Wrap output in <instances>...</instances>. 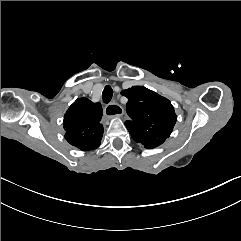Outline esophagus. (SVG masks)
Wrapping results in <instances>:
<instances>
[{"instance_id": "34e87169", "label": "esophagus", "mask_w": 241, "mask_h": 241, "mask_svg": "<svg viewBox=\"0 0 241 241\" xmlns=\"http://www.w3.org/2000/svg\"><path fill=\"white\" fill-rule=\"evenodd\" d=\"M123 112H124L123 107L114 101L107 104L103 111L104 115L107 118L121 116V115H123Z\"/></svg>"}]
</instances>
